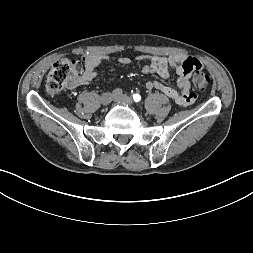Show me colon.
<instances>
[{
  "label": "colon",
  "mask_w": 253,
  "mask_h": 253,
  "mask_svg": "<svg viewBox=\"0 0 253 253\" xmlns=\"http://www.w3.org/2000/svg\"><path fill=\"white\" fill-rule=\"evenodd\" d=\"M188 66L193 70L192 83L198 90H206L210 77L205 73L203 65L194 58L188 60ZM83 71L82 63L76 59L62 58L52 66L46 80L45 90L50 95H55L64 90Z\"/></svg>",
  "instance_id": "1"
}]
</instances>
